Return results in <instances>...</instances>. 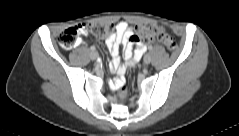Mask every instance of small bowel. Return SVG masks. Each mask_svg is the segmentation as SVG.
Here are the masks:
<instances>
[{"label":"small bowel","mask_w":239,"mask_h":136,"mask_svg":"<svg viewBox=\"0 0 239 136\" xmlns=\"http://www.w3.org/2000/svg\"><path fill=\"white\" fill-rule=\"evenodd\" d=\"M132 28L125 21H120L115 25V32L106 39V44L110 49L113 66H119L120 51L122 50L123 58L128 66H133L139 61L142 55L147 53V46L141 41L134 40ZM125 68L120 69V74H123Z\"/></svg>","instance_id":"obj_1"}]
</instances>
